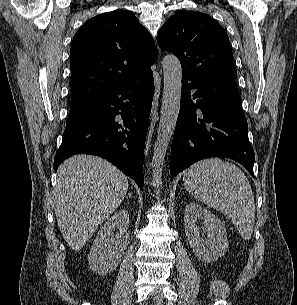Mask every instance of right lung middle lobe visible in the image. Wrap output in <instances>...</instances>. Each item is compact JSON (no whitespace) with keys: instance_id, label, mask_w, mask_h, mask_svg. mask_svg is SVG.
Masks as SVG:
<instances>
[{"instance_id":"obj_1","label":"right lung middle lobe","mask_w":297,"mask_h":305,"mask_svg":"<svg viewBox=\"0 0 297 305\" xmlns=\"http://www.w3.org/2000/svg\"><path fill=\"white\" fill-rule=\"evenodd\" d=\"M86 102H81V103H75V104H72L71 108H70V111H73L77 108H79L80 106H82L83 104H85Z\"/></svg>"}]
</instances>
